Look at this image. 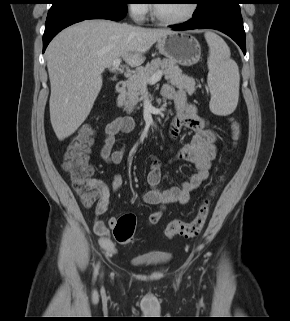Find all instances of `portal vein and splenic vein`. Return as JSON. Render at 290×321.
<instances>
[{"label": "portal vein and splenic vein", "mask_w": 290, "mask_h": 321, "mask_svg": "<svg viewBox=\"0 0 290 321\" xmlns=\"http://www.w3.org/2000/svg\"><path fill=\"white\" fill-rule=\"evenodd\" d=\"M120 64H121V59L120 58L115 59L112 63L113 69L114 70L119 69ZM163 73L164 72L162 70L157 71L149 79H147V81H145L144 83L153 84V83L158 82L162 78Z\"/></svg>", "instance_id": "1"}]
</instances>
